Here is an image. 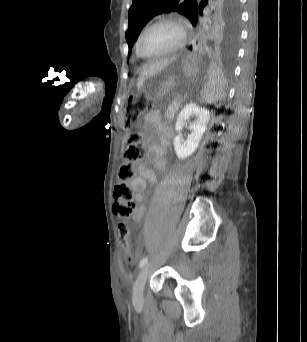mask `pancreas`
<instances>
[{
	"mask_svg": "<svg viewBox=\"0 0 307 342\" xmlns=\"http://www.w3.org/2000/svg\"><path fill=\"white\" fill-rule=\"evenodd\" d=\"M180 106V101L179 100H172L171 101V106H167L165 108V116L166 117H173L174 116V111L176 107Z\"/></svg>",
	"mask_w": 307,
	"mask_h": 342,
	"instance_id": "cf45deb5",
	"label": "pancreas"
}]
</instances>
